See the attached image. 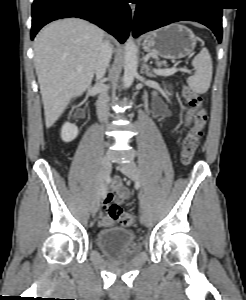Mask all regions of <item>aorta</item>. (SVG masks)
Listing matches in <instances>:
<instances>
[{
	"instance_id": "aorta-1",
	"label": "aorta",
	"mask_w": 246,
	"mask_h": 300,
	"mask_svg": "<svg viewBox=\"0 0 246 300\" xmlns=\"http://www.w3.org/2000/svg\"><path fill=\"white\" fill-rule=\"evenodd\" d=\"M138 49L135 45L132 36H129L124 53V75H123V86L124 88H129L135 76L137 75L138 67Z\"/></svg>"
}]
</instances>
